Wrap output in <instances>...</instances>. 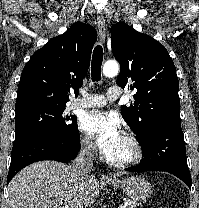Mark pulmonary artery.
<instances>
[{"label": "pulmonary artery", "instance_id": "obj_1", "mask_svg": "<svg viewBox=\"0 0 199 208\" xmlns=\"http://www.w3.org/2000/svg\"><path fill=\"white\" fill-rule=\"evenodd\" d=\"M123 95L122 90L112 87L106 94H87L74 98L71 101L72 109H85L105 106L109 101L115 100Z\"/></svg>", "mask_w": 199, "mask_h": 208}]
</instances>
